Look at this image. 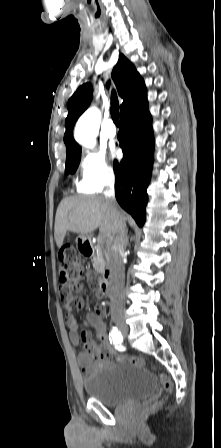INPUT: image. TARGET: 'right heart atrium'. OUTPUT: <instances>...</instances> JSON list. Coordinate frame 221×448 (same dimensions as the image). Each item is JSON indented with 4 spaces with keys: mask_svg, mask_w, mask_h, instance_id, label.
I'll return each mask as SVG.
<instances>
[{
    "mask_svg": "<svg viewBox=\"0 0 221 448\" xmlns=\"http://www.w3.org/2000/svg\"><path fill=\"white\" fill-rule=\"evenodd\" d=\"M80 170L78 187L83 192L99 191L115 179L114 168L102 152H85L80 160Z\"/></svg>",
    "mask_w": 221,
    "mask_h": 448,
    "instance_id": "right-heart-atrium-1",
    "label": "right heart atrium"
}]
</instances>
